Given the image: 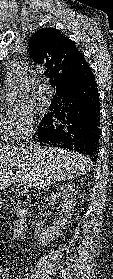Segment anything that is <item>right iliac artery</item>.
<instances>
[{"label": "right iliac artery", "instance_id": "82829eb1", "mask_svg": "<svg viewBox=\"0 0 113 279\" xmlns=\"http://www.w3.org/2000/svg\"><path fill=\"white\" fill-rule=\"evenodd\" d=\"M30 278H31V277H29V276L27 275L25 279H30Z\"/></svg>", "mask_w": 113, "mask_h": 279}]
</instances>
